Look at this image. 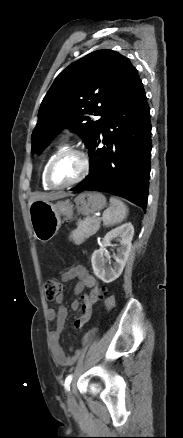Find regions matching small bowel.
<instances>
[{"mask_svg": "<svg viewBox=\"0 0 183 438\" xmlns=\"http://www.w3.org/2000/svg\"><path fill=\"white\" fill-rule=\"evenodd\" d=\"M61 279L63 282H68L71 281L73 279H77L74 287H73V293L75 295H79L80 293H82V291L84 290V288H91L93 286H95L96 280L95 278L89 274L88 270L81 266H74L71 268H68L61 276ZM87 295H84L83 298V303L86 299ZM55 303H57L59 305V307L57 309L54 308H49L47 311V316L48 319L52 322L55 323L56 325V329L55 331H53L51 333L50 336V340H51V350H52V354H53V358L55 360V362H57L60 365H71L74 363L75 361V357H71L66 355V353L64 352L63 348L60 345V335L64 329L65 326V322L67 319V315H68V309L67 307L63 304V296L59 295L55 300ZM83 303H80V301L78 300H74L71 303V308L73 310H78L81 309L82 314L75 319L74 321V328L76 330L81 329L85 323H87L90 319L91 316V309L88 310L87 312H83ZM105 306L107 308H111L112 305L114 304V299L112 297H107L104 301Z\"/></svg>", "mask_w": 183, "mask_h": 438, "instance_id": "c3829d8e", "label": "small bowel"}]
</instances>
